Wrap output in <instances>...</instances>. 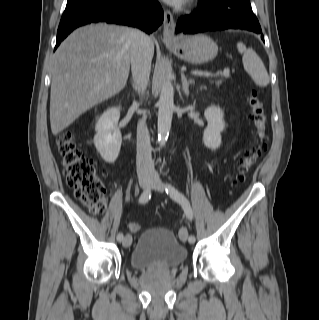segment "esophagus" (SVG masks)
Listing matches in <instances>:
<instances>
[{
  "label": "esophagus",
  "mask_w": 319,
  "mask_h": 320,
  "mask_svg": "<svg viewBox=\"0 0 319 320\" xmlns=\"http://www.w3.org/2000/svg\"><path fill=\"white\" fill-rule=\"evenodd\" d=\"M176 39L175 36V22L172 13L169 10L164 11L163 21V40L164 42H171Z\"/></svg>",
  "instance_id": "obj_1"
}]
</instances>
